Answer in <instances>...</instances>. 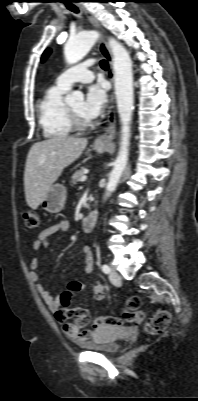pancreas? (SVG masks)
<instances>
[{
  "label": "pancreas",
  "instance_id": "cf45deb5",
  "mask_svg": "<svg viewBox=\"0 0 198 401\" xmlns=\"http://www.w3.org/2000/svg\"><path fill=\"white\" fill-rule=\"evenodd\" d=\"M84 170L85 168H81L73 174L70 180V185L72 187L75 186L80 181V178L85 175Z\"/></svg>",
  "mask_w": 198,
  "mask_h": 401
}]
</instances>
